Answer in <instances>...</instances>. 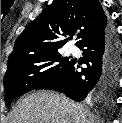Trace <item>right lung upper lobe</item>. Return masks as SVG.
I'll return each instance as SVG.
<instances>
[{"label":"right lung upper lobe","mask_w":122,"mask_h":123,"mask_svg":"<svg viewBox=\"0 0 122 123\" xmlns=\"http://www.w3.org/2000/svg\"><path fill=\"white\" fill-rule=\"evenodd\" d=\"M107 18L98 0H54L50 7L30 22L15 41L7 65L45 53L57 52L77 30L79 46L106 26Z\"/></svg>","instance_id":"cb5924a9"}]
</instances>
